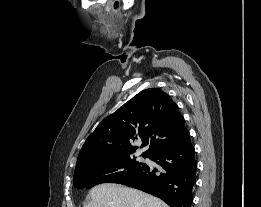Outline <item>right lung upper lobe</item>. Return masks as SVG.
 Instances as JSON below:
<instances>
[{
    "label": "right lung upper lobe",
    "mask_w": 261,
    "mask_h": 207,
    "mask_svg": "<svg viewBox=\"0 0 261 207\" xmlns=\"http://www.w3.org/2000/svg\"><path fill=\"white\" fill-rule=\"evenodd\" d=\"M178 106L158 88L141 91L104 119L85 141L76 168L98 160L133 154L134 141L150 144L142 155L153 154L176 147L190 134Z\"/></svg>",
    "instance_id": "cb5924a9"
}]
</instances>
